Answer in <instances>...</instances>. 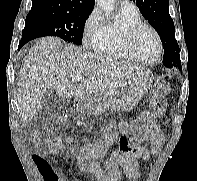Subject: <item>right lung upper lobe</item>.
I'll return each instance as SVG.
<instances>
[{"label": "right lung upper lobe", "instance_id": "right-lung-upper-lobe-1", "mask_svg": "<svg viewBox=\"0 0 197 181\" xmlns=\"http://www.w3.org/2000/svg\"><path fill=\"white\" fill-rule=\"evenodd\" d=\"M95 0H32L31 10H52L68 13L91 12Z\"/></svg>", "mask_w": 197, "mask_h": 181}]
</instances>
